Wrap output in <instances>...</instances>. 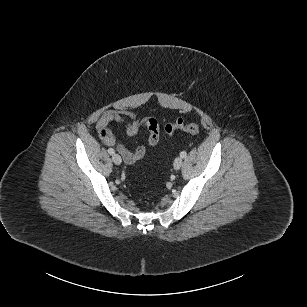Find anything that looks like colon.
<instances>
[{
  "instance_id": "colon-1",
  "label": "colon",
  "mask_w": 307,
  "mask_h": 307,
  "mask_svg": "<svg viewBox=\"0 0 307 307\" xmlns=\"http://www.w3.org/2000/svg\"><path fill=\"white\" fill-rule=\"evenodd\" d=\"M178 129H181L190 134H198L200 131V128L197 124L186 123L182 119H178L175 122L170 123L165 127V133L168 136H171Z\"/></svg>"
}]
</instances>
